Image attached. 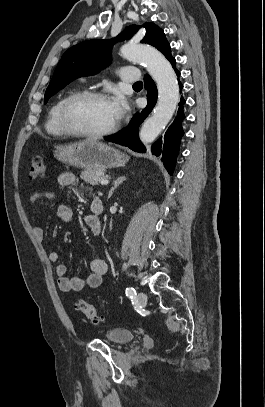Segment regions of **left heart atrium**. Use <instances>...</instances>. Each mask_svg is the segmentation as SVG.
I'll return each mask as SVG.
<instances>
[{"instance_id":"1","label":"left heart atrium","mask_w":265,"mask_h":407,"mask_svg":"<svg viewBox=\"0 0 265 407\" xmlns=\"http://www.w3.org/2000/svg\"><path fill=\"white\" fill-rule=\"evenodd\" d=\"M109 103L116 120L121 119L127 112L128 106L123 96L116 95L109 100Z\"/></svg>"}]
</instances>
